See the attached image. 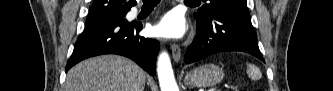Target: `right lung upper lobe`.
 Segmentation results:
<instances>
[{
  "instance_id": "cb5924a9",
  "label": "right lung upper lobe",
  "mask_w": 333,
  "mask_h": 91,
  "mask_svg": "<svg viewBox=\"0 0 333 91\" xmlns=\"http://www.w3.org/2000/svg\"><path fill=\"white\" fill-rule=\"evenodd\" d=\"M136 0H94L89 18H105L128 12Z\"/></svg>"
}]
</instances>
